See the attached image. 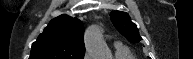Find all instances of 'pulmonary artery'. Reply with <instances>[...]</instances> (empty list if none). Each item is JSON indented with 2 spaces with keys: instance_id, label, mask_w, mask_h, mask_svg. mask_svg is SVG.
<instances>
[{
  "instance_id": "1",
  "label": "pulmonary artery",
  "mask_w": 193,
  "mask_h": 59,
  "mask_svg": "<svg viewBox=\"0 0 193 59\" xmlns=\"http://www.w3.org/2000/svg\"><path fill=\"white\" fill-rule=\"evenodd\" d=\"M120 48H123V47L120 46V45H117V46H116V49H120Z\"/></svg>"
}]
</instances>
